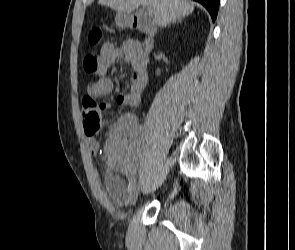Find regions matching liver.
Listing matches in <instances>:
<instances>
[{
  "mask_svg": "<svg viewBox=\"0 0 295 250\" xmlns=\"http://www.w3.org/2000/svg\"><path fill=\"white\" fill-rule=\"evenodd\" d=\"M100 5L108 6L121 13H131L140 5L153 9V22L163 27L192 14L194 6L188 0H99Z\"/></svg>",
  "mask_w": 295,
  "mask_h": 250,
  "instance_id": "liver-1",
  "label": "liver"
}]
</instances>
